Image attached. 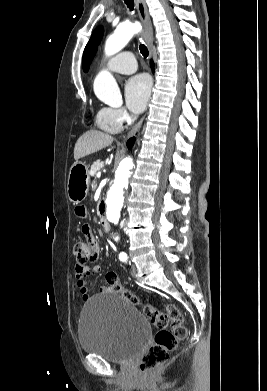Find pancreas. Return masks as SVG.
Instances as JSON below:
<instances>
[{"label":"pancreas","mask_w":267,"mask_h":391,"mask_svg":"<svg viewBox=\"0 0 267 391\" xmlns=\"http://www.w3.org/2000/svg\"><path fill=\"white\" fill-rule=\"evenodd\" d=\"M103 162L102 161H96L94 164L91 166V169L89 171V174L91 176H95L96 173L102 168Z\"/></svg>","instance_id":"1"}]
</instances>
